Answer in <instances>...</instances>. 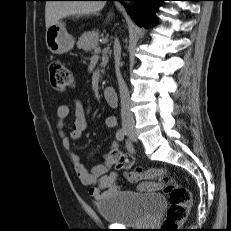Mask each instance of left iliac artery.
Wrapping results in <instances>:
<instances>
[{
    "mask_svg": "<svg viewBox=\"0 0 231 231\" xmlns=\"http://www.w3.org/2000/svg\"><path fill=\"white\" fill-rule=\"evenodd\" d=\"M126 147L128 149L129 152H133L134 151V148L132 146V143L129 139L126 140Z\"/></svg>",
    "mask_w": 231,
    "mask_h": 231,
    "instance_id": "1",
    "label": "left iliac artery"
}]
</instances>
